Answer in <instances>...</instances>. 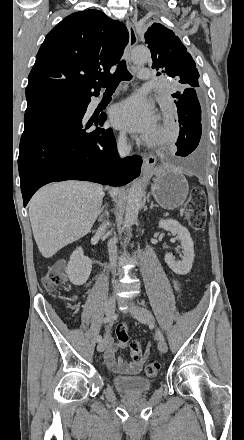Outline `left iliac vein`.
<instances>
[{
	"instance_id": "4c4485c4",
	"label": "left iliac vein",
	"mask_w": 244,
	"mask_h": 440,
	"mask_svg": "<svg viewBox=\"0 0 244 440\" xmlns=\"http://www.w3.org/2000/svg\"><path fill=\"white\" fill-rule=\"evenodd\" d=\"M130 310L132 311L134 317L141 323L154 324V317L152 313L141 306H137L133 303H129ZM158 349L161 353H166L168 348L167 344L163 339L158 338Z\"/></svg>"
}]
</instances>
